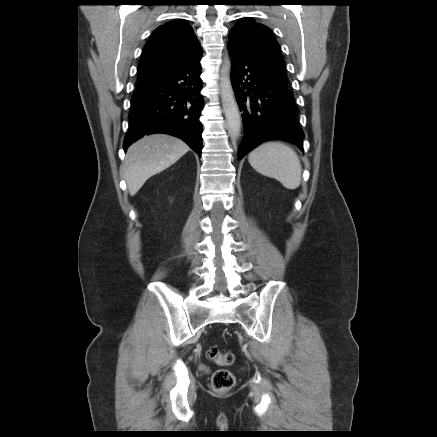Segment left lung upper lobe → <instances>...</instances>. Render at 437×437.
I'll use <instances>...</instances> for the list:
<instances>
[{"label":"left lung upper lobe","instance_id":"5c2ea615","mask_svg":"<svg viewBox=\"0 0 437 437\" xmlns=\"http://www.w3.org/2000/svg\"><path fill=\"white\" fill-rule=\"evenodd\" d=\"M228 48L287 85L285 63L279 44L267 26L250 18L240 19L230 32Z\"/></svg>","mask_w":437,"mask_h":437}]
</instances>
